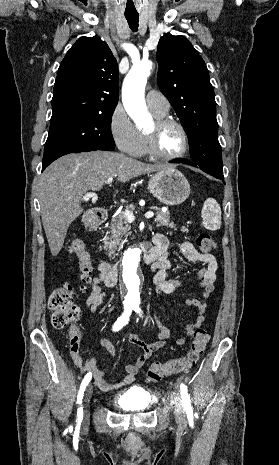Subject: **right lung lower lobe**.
<instances>
[{"instance_id":"obj_1","label":"right lung lower lobe","mask_w":279,"mask_h":465,"mask_svg":"<svg viewBox=\"0 0 279 465\" xmlns=\"http://www.w3.org/2000/svg\"><path fill=\"white\" fill-rule=\"evenodd\" d=\"M114 147H106L102 145H96V146H87L84 150L82 151H95V150H113ZM81 151V152H82ZM48 165H42V171L47 167Z\"/></svg>"}]
</instances>
